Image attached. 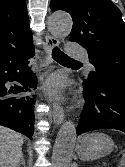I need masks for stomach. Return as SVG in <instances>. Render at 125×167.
<instances>
[{"label": "stomach", "mask_w": 125, "mask_h": 167, "mask_svg": "<svg viewBox=\"0 0 125 167\" xmlns=\"http://www.w3.org/2000/svg\"><path fill=\"white\" fill-rule=\"evenodd\" d=\"M114 142L106 134L90 133L81 136L77 143V153L81 160L89 161L104 157L113 151Z\"/></svg>", "instance_id": "1"}]
</instances>
